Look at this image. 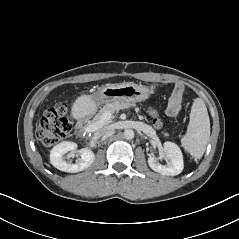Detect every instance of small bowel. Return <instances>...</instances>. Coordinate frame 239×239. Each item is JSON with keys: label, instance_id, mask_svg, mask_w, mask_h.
Returning <instances> with one entry per match:
<instances>
[{"label": "small bowel", "instance_id": "obj_1", "mask_svg": "<svg viewBox=\"0 0 239 239\" xmlns=\"http://www.w3.org/2000/svg\"><path fill=\"white\" fill-rule=\"evenodd\" d=\"M181 96H182V88L180 86H177L167 106L166 112L169 116L175 117L180 112Z\"/></svg>", "mask_w": 239, "mask_h": 239}]
</instances>
